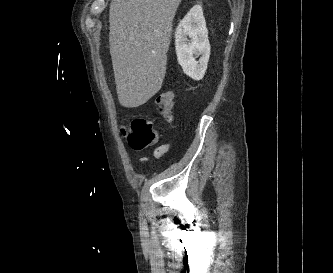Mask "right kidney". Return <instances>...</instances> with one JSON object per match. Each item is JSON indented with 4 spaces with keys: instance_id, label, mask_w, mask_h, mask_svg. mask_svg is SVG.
<instances>
[{
    "instance_id": "right-kidney-1",
    "label": "right kidney",
    "mask_w": 333,
    "mask_h": 273,
    "mask_svg": "<svg viewBox=\"0 0 333 273\" xmlns=\"http://www.w3.org/2000/svg\"><path fill=\"white\" fill-rule=\"evenodd\" d=\"M175 48L183 72L194 80L202 79L210 57V44L201 5L192 7L178 25L175 32ZM199 56V60L196 61Z\"/></svg>"
}]
</instances>
